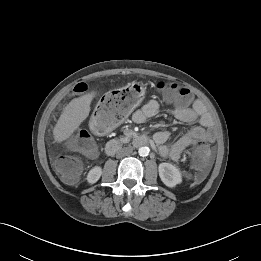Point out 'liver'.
Returning <instances> with one entry per match:
<instances>
[{
    "instance_id": "6515ba94",
    "label": "liver",
    "mask_w": 261,
    "mask_h": 261,
    "mask_svg": "<svg viewBox=\"0 0 261 261\" xmlns=\"http://www.w3.org/2000/svg\"><path fill=\"white\" fill-rule=\"evenodd\" d=\"M95 92L73 99L63 110L54 129V140L58 143L68 139L88 117Z\"/></svg>"
}]
</instances>
